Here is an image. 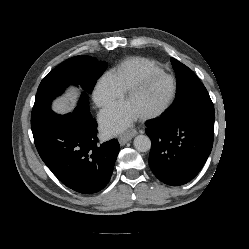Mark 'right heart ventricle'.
<instances>
[{"instance_id": "1", "label": "right heart ventricle", "mask_w": 249, "mask_h": 249, "mask_svg": "<svg viewBox=\"0 0 249 249\" xmlns=\"http://www.w3.org/2000/svg\"><path fill=\"white\" fill-rule=\"evenodd\" d=\"M158 72H162V69L154 61L144 57H130L109 74L117 87L126 91L143 76Z\"/></svg>"}]
</instances>
